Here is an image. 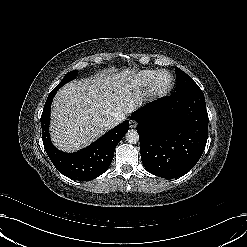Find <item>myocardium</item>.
Returning <instances> with one entry per match:
<instances>
[{"label":"myocardium","instance_id":"1","mask_svg":"<svg viewBox=\"0 0 247 247\" xmlns=\"http://www.w3.org/2000/svg\"><path fill=\"white\" fill-rule=\"evenodd\" d=\"M167 77V82L161 81L162 77ZM174 79L172 75L165 71H158L148 87V97L161 98L164 97L173 87Z\"/></svg>","mask_w":247,"mask_h":247}]
</instances>
